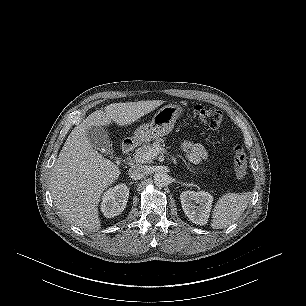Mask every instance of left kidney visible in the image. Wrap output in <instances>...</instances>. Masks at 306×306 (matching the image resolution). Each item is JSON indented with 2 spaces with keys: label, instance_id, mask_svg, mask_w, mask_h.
I'll return each mask as SVG.
<instances>
[{
  "label": "left kidney",
  "instance_id": "left-kidney-1",
  "mask_svg": "<svg viewBox=\"0 0 306 306\" xmlns=\"http://www.w3.org/2000/svg\"><path fill=\"white\" fill-rule=\"evenodd\" d=\"M182 208L190 221L197 225L208 222L213 196L205 191H183L180 195Z\"/></svg>",
  "mask_w": 306,
  "mask_h": 306
}]
</instances>
